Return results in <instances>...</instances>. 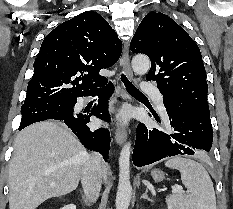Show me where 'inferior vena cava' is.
I'll list each match as a JSON object with an SVG mask.
<instances>
[{"label": "inferior vena cava", "instance_id": "1", "mask_svg": "<svg viewBox=\"0 0 233 209\" xmlns=\"http://www.w3.org/2000/svg\"><path fill=\"white\" fill-rule=\"evenodd\" d=\"M103 160L100 154L92 153L88 156L82 170L81 183L85 196L90 202L99 197L102 183Z\"/></svg>", "mask_w": 233, "mask_h": 209}]
</instances>
